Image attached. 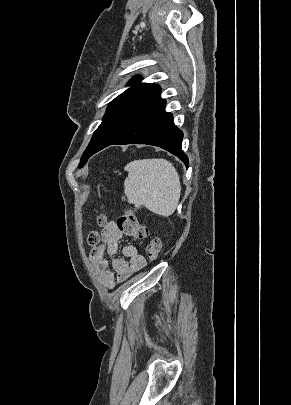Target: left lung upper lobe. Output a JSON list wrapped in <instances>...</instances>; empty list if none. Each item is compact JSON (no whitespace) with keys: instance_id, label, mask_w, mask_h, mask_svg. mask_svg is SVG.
<instances>
[{"instance_id":"1","label":"left lung upper lobe","mask_w":291,"mask_h":405,"mask_svg":"<svg viewBox=\"0 0 291 405\" xmlns=\"http://www.w3.org/2000/svg\"><path fill=\"white\" fill-rule=\"evenodd\" d=\"M139 81V77L133 78L130 81L132 86L109 104L102 123L94 132L83 153L79 167H82L94 153L114 142L127 128L139 103L155 85L153 83H139Z\"/></svg>"}]
</instances>
